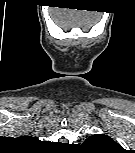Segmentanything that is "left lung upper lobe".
I'll return each mask as SVG.
<instances>
[{"label": "left lung upper lobe", "instance_id": "1", "mask_svg": "<svg viewBox=\"0 0 135 153\" xmlns=\"http://www.w3.org/2000/svg\"><path fill=\"white\" fill-rule=\"evenodd\" d=\"M83 145L89 149L101 152H109L120 148L116 142L104 134H95L88 137Z\"/></svg>", "mask_w": 135, "mask_h": 153}]
</instances>
